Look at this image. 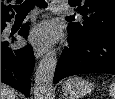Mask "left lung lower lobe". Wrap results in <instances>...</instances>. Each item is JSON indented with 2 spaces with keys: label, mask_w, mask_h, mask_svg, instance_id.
Instances as JSON below:
<instances>
[{
  "label": "left lung lower lobe",
  "mask_w": 115,
  "mask_h": 99,
  "mask_svg": "<svg viewBox=\"0 0 115 99\" xmlns=\"http://www.w3.org/2000/svg\"><path fill=\"white\" fill-rule=\"evenodd\" d=\"M68 43L57 63L54 83L78 74H115V38L95 37L79 42L68 34Z\"/></svg>",
  "instance_id": "left-lung-lower-lobe-1"
}]
</instances>
